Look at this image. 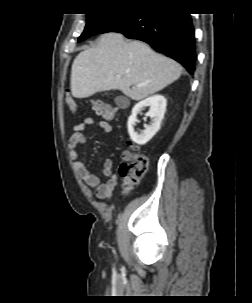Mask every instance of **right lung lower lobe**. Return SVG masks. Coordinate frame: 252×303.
<instances>
[{"label": "right lung lower lobe", "mask_w": 252, "mask_h": 303, "mask_svg": "<svg viewBox=\"0 0 252 303\" xmlns=\"http://www.w3.org/2000/svg\"><path fill=\"white\" fill-rule=\"evenodd\" d=\"M107 32L144 41L181 63L190 74L195 71L194 28L188 13L157 8L130 9L100 33Z\"/></svg>", "instance_id": "1"}]
</instances>
